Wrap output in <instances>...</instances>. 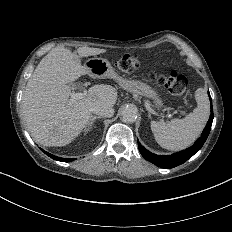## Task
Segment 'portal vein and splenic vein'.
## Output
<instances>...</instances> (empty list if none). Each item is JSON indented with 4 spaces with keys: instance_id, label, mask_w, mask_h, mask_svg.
<instances>
[{
    "instance_id": "18ae733b",
    "label": "portal vein and splenic vein",
    "mask_w": 232,
    "mask_h": 232,
    "mask_svg": "<svg viewBox=\"0 0 232 232\" xmlns=\"http://www.w3.org/2000/svg\"><path fill=\"white\" fill-rule=\"evenodd\" d=\"M83 94L81 93H71V98H81ZM147 109L150 110V107L147 106Z\"/></svg>"
}]
</instances>
